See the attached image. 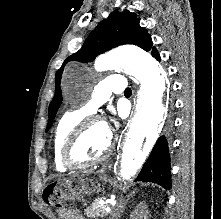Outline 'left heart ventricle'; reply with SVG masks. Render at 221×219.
I'll return each instance as SVG.
<instances>
[{
  "mask_svg": "<svg viewBox=\"0 0 221 219\" xmlns=\"http://www.w3.org/2000/svg\"><path fill=\"white\" fill-rule=\"evenodd\" d=\"M109 143L108 129L100 123L88 126L74 148V158L79 162L93 160L100 156Z\"/></svg>",
  "mask_w": 221,
  "mask_h": 219,
  "instance_id": "b2bd125f",
  "label": "left heart ventricle"
}]
</instances>
